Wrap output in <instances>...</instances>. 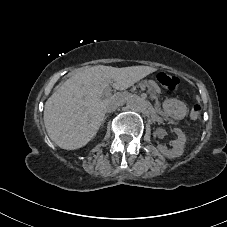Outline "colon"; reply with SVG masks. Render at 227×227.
<instances>
[{"label":"colon","mask_w":227,"mask_h":227,"mask_svg":"<svg viewBox=\"0 0 227 227\" xmlns=\"http://www.w3.org/2000/svg\"><path fill=\"white\" fill-rule=\"evenodd\" d=\"M157 81L160 85L169 92H174L177 90L181 79L172 74H168L164 71H161L157 74ZM202 114V107L199 103L193 104L190 108V117L193 120H197L200 118Z\"/></svg>","instance_id":"1"}]
</instances>
